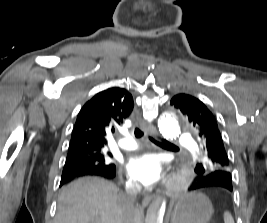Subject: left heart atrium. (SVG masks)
I'll return each mask as SVG.
<instances>
[{
    "label": "left heart atrium",
    "instance_id": "1",
    "mask_svg": "<svg viewBox=\"0 0 267 223\" xmlns=\"http://www.w3.org/2000/svg\"><path fill=\"white\" fill-rule=\"evenodd\" d=\"M129 175L144 186L150 187L165 177L164 161L156 154H138L131 157L126 165Z\"/></svg>",
    "mask_w": 267,
    "mask_h": 223
}]
</instances>
